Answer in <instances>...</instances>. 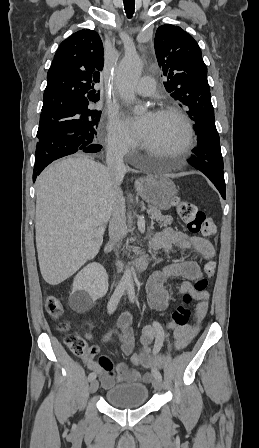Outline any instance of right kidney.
<instances>
[{
	"instance_id": "1",
	"label": "right kidney",
	"mask_w": 259,
	"mask_h": 448,
	"mask_svg": "<svg viewBox=\"0 0 259 448\" xmlns=\"http://www.w3.org/2000/svg\"><path fill=\"white\" fill-rule=\"evenodd\" d=\"M108 276L101 264L92 262L78 272L73 282V290L69 296V306L84 314L92 308L98 298H103L108 290Z\"/></svg>"
}]
</instances>
